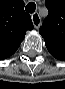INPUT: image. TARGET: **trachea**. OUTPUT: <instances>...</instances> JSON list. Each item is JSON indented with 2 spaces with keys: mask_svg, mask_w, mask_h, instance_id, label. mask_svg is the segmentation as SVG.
Instances as JSON below:
<instances>
[{
  "mask_svg": "<svg viewBox=\"0 0 65 89\" xmlns=\"http://www.w3.org/2000/svg\"><path fill=\"white\" fill-rule=\"evenodd\" d=\"M36 9V4L34 2H30L26 5L25 11L27 13H33Z\"/></svg>",
  "mask_w": 65,
  "mask_h": 89,
  "instance_id": "obj_1",
  "label": "trachea"
}]
</instances>
